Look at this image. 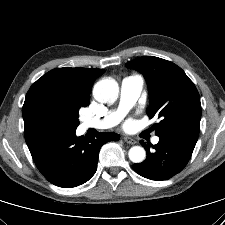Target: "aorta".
I'll list each match as a JSON object with an SVG mask.
<instances>
[{
    "label": "aorta",
    "mask_w": 225,
    "mask_h": 225,
    "mask_svg": "<svg viewBox=\"0 0 225 225\" xmlns=\"http://www.w3.org/2000/svg\"><path fill=\"white\" fill-rule=\"evenodd\" d=\"M93 93L96 100L101 103L114 102L118 97L119 86L114 79H102L94 86ZM128 155L133 163H141L145 160L146 152L140 146H133Z\"/></svg>",
    "instance_id": "aorta-1"
}]
</instances>
